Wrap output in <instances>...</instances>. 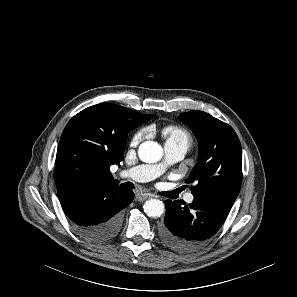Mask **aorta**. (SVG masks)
Here are the masks:
<instances>
[{"instance_id":"762f6f07","label":"aorta","mask_w":297,"mask_h":297,"mask_svg":"<svg viewBox=\"0 0 297 297\" xmlns=\"http://www.w3.org/2000/svg\"><path fill=\"white\" fill-rule=\"evenodd\" d=\"M139 158L146 163L158 162L163 156V149L157 142L145 141L138 149ZM144 212L149 217H160L165 209L162 201L158 199H150L143 206Z\"/></svg>"}]
</instances>
